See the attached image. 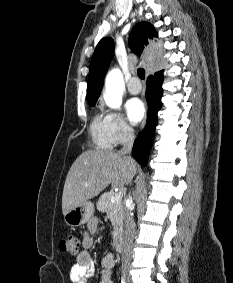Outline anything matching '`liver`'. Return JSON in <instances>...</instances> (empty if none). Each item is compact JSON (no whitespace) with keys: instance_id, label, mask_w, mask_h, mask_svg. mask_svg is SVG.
<instances>
[{"instance_id":"obj_1","label":"liver","mask_w":233,"mask_h":283,"mask_svg":"<svg viewBox=\"0 0 233 283\" xmlns=\"http://www.w3.org/2000/svg\"><path fill=\"white\" fill-rule=\"evenodd\" d=\"M136 163L128 156L108 150H87L72 164L64 185L62 212L94 198L110 184L123 187L132 181Z\"/></svg>"}]
</instances>
